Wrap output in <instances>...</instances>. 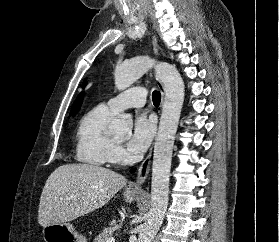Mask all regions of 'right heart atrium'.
Returning <instances> with one entry per match:
<instances>
[{
  "instance_id": "right-heart-atrium-1",
  "label": "right heart atrium",
  "mask_w": 279,
  "mask_h": 242,
  "mask_svg": "<svg viewBox=\"0 0 279 242\" xmlns=\"http://www.w3.org/2000/svg\"><path fill=\"white\" fill-rule=\"evenodd\" d=\"M125 157H126V154H125L124 149L121 146H117L113 161L119 162V161L124 160Z\"/></svg>"
}]
</instances>
